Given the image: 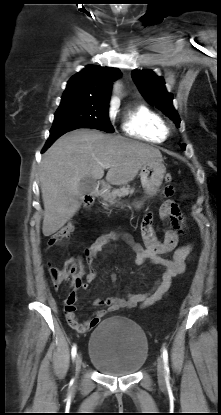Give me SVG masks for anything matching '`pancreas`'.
<instances>
[{
	"label": "pancreas",
	"instance_id": "1",
	"mask_svg": "<svg viewBox=\"0 0 221 415\" xmlns=\"http://www.w3.org/2000/svg\"><path fill=\"white\" fill-rule=\"evenodd\" d=\"M134 193V189H131L128 185L123 186L120 189H115L112 192L106 193L103 198L104 201H108L109 203H114L117 198H121L127 195H132Z\"/></svg>",
	"mask_w": 221,
	"mask_h": 415
}]
</instances>
